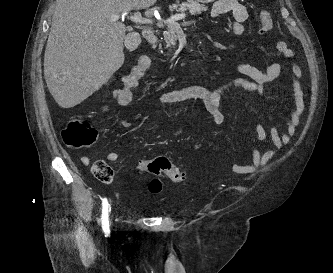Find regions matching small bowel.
Wrapping results in <instances>:
<instances>
[{
    "mask_svg": "<svg viewBox=\"0 0 333 273\" xmlns=\"http://www.w3.org/2000/svg\"><path fill=\"white\" fill-rule=\"evenodd\" d=\"M230 13L233 16L232 22L229 24V30L234 35H242L246 31L245 22L249 17L247 8L240 0H218L211 9L213 17H221ZM277 51L290 61V83L293 96V105L286 120V128L282 134L278 132L275 125L269 128V134L273 143V148L261 153L258 149L252 151L253 163L251 165H241L234 163L232 168L242 173H252L265 166L281 149L287 145L294 136L302 114L304 112V95L300 80L302 78L301 68L292 61L295 52L291 49L286 41L280 40L276 43ZM142 59H147L142 57ZM139 60V61H140ZM236 71L239 76L228 79L223 84L214 89H208L201 86H187L176 90L162 92L157 95L156 101L161 104H178L188 100H200L210 114L212 121L216 125H220L225 121V116L221 111V98L224 92L229 89L236 88L244 92L253 93L256 95L264 94V86L279 77L282 71L280 63H272L266 69L258 68L247 62L235 61ZM151 68L150 62H134L131 70L128 71V76L121 84L120 88L114 93L116 102L121 107H128L132 104V91H137L138 80L140 77H145L147 69ZM103 109H108V104H103ZM99 123H106V111H99ZM122 127L128 128L131 123L122 120L119 123ZM255 131L259 141H263L267 137L266 130L261 123L255 124ZM107 161L113 163L119 159V154L111 151L107 154ZM81 162L88 166L91 159L88 156H83Z\"/></svg>",
    "mask_w": 333,
    "mask_h": 273,
    "instance_id": "small-bowel-1",
    "label": "small bowel"
}]
</instances>
